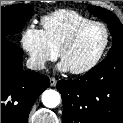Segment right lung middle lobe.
Segmentation results:
<instances>
[{"label": "right lung middle lobe", "instance_id": "right-lung-middle-lobe-1", "mask_svg": "<svg viewBox=\"0 0 123 123\" xmlns=\"http://www.w3.org/2000/svg\"><path fill=\"white\" fill-rule=\"evenodd\" d=\"M33 6L16 4L1 7V39L11 40V36L20 32L31 17Z\"/></svg>", "mask_w": 123, "mask_h": 123}]
</instances>
